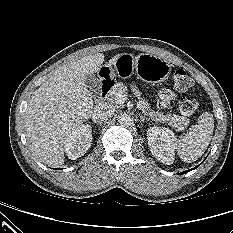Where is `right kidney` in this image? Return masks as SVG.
Listing matches in <instances>:
<instances>
[{"label": "right kidney", "instance_id": "right-kidney-1", "mask_svg": "<svg viewBox=\"0 0 233 233\" xmlns=\"http://www.w3.org/2000/svg\"><path fill=\"white\" fill-rule=\"evenodd\" d=\"M92 129L90 125H79L64 141V151L69 159L75 160L83 156L90 148Z\"/></svg>", "mask_w": 233, "mask_h": 233}]
</instances>
